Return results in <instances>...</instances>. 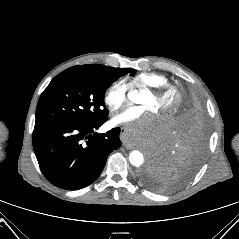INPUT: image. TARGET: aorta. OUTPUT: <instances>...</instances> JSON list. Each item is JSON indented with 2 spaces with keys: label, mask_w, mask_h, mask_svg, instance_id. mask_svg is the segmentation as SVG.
<instances>
[{
  "label": "aorta",
  "mask_w": 239,
  "mask_h": 239,
  "mask_svg": "<svg viewBox=\"0 0 239 239\" xmlns=\"http://www.w3.org/2000/svg\"><path fill=\"white\" fill-rule=\"evenodd\" d=\"M138 90H132L128 93V98L132 102H136L138 99ZM144 155L138 150H133L129 154V162L131 165L139 167L144 163Z\"/></svg>",
  "instance_id": "1"
}]
</instances>
